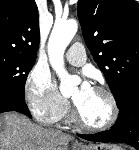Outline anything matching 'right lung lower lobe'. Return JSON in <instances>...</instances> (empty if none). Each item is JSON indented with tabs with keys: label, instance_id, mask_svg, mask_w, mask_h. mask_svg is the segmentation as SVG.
Instances as JSON below:
<instances>
[{
	"label": "right lung lower lobe",
	"instance_id": "right-lung-lower-lobe-1",
	"mask_svg": "<svg viewBox=\"0 0 139 150\" xmlns=\"http://www.w3.org/2000/svg\"><path fill=\"white\" fill-rule=\"evenodd\" d=\"M16 111L32 118L25 103V97H21L9 92L0 91V113Z\"/></svg>",
	"mask_w": 139,
	"mask_h": 150
}]
</instances>
